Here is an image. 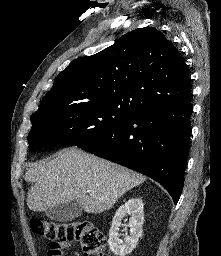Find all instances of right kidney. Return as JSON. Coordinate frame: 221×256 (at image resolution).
<instances>
[{"label":"right kidney","mask_w":221,"mask_h":256,"mask_svg":"<svg viewBox=\"0 0 221 256\" xmlns=\"http://www.w3.org/2000/svg\"><path fill=\"white\" fill-rule=\"evenodd\" d=\"M126 215H130L129 223L130 235H125L123 244L119 239V227ZM144 223L143 202L140 198L129 199L124 205L120 206L115 213L109 230V247L116 256H126L136 247L138 239L142 236V226Z\"/></svg>","instance_id":"obj_1"}]
</instances>
